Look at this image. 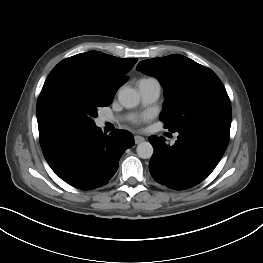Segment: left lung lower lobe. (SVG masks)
<instances>
[{"label":"left lung lower lobe","mask_w":263,"mask_h":263,"mask_svg":"<svg viewBox=\"0 0 263 263\" xmlns=\"http://www.w3.org/2000/svg\"><path fill=\"white\" fill-rule=\"evenodd\" d=\"M173 146L162 136H150L154 148L149 163L153 179L174 190L191 188L203 181L222 158L230 128L202 122L193 128L179 129Z\"/></svg>","instance_id":"obj_1"}]
</instances>
